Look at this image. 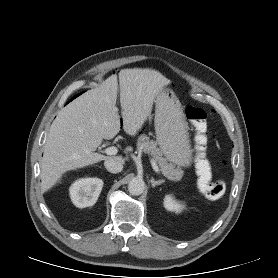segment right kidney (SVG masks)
Segmentation results:
<instances>
[{
  "label": "right kidney",
  "instance_id": "obj_1",
  "mask_svg": "<svg viewBox=\"0 0 278 278\" xmlns=\"http://www.w3.org/2000/svg\"><path fill=\"white\" fill-rule=\"evenodd\" d=\"M103 181L99 178H82L76 180L69 188L70 198L78 208L94 205L103 188Z\"/></svg>",
  "mask_w": 278,
  "mask_h": 278
}]
</instances>
